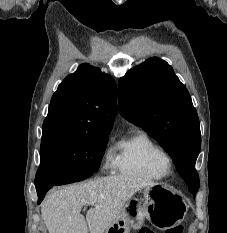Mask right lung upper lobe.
Returning <instances> with one entry per match:
<instances>
[{
  "instance_id": "right-lung-upper-lobe-1",
  "label": "right lung upper lobe",
  "mask_w": 227,
  "mask_h": 233,
  "mask_svg": "<svg viewBox=\"0 0 227 233\" xmlns=\"http://www.w3.org/2000/svg\"><path fill=\"white\" fill-rule=\"evenodd\" d=\"M114 79L81 64L59 84L43 123V134L65 131L101 134L111 131L117 113Z\"/></svg>"
}]
</instances>
